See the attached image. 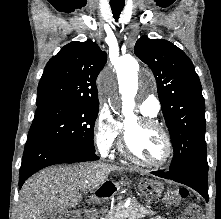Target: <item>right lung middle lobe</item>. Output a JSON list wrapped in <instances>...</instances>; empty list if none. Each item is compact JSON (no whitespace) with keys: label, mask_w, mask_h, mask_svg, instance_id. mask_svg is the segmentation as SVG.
<instances>
[{"label":"right lung middle lobe","mask_w":221,"mask_h":219,"mask_svg":"<svg viewBox=\"0 0 221 219\" xmlns=\"http://www.w3.org/2000/svg\"><path fill=\"white\" fill-rule=\"evenodd\" d=\"M99 104L47 101L37 104L28 138L44 136L74 148L95 152L93 128Z\"/></svg>","instance_id":"1"}]
</instances>
